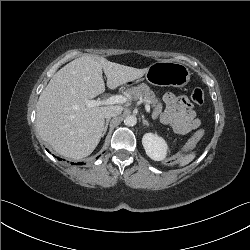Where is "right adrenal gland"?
<instances>
[{
    "label": "right adrenal gland",
    "instance_id": "obj_1",
    "mask_svg": "<svg viewBox=\"0 0 250 250\" xmlns=\"http://www.w3.org/2000/svg\"><path fill=\"white\" fill-rule=\"evenodd\" d=\"M111 118H107L106 122H105V126L103 128V133H102V137L106 134L107 128H108V124Z\"/></svg>",
    "mask_w": 250,
    "mask_h": 250
}]
</instances>
